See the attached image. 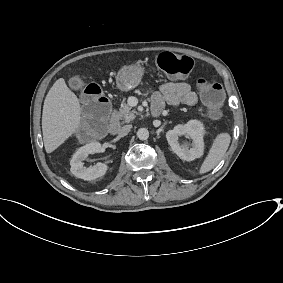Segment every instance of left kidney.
I'll return each instance as SVG.
<instances>
[{"label": "left kidney", "mask_w": 283, "mask_h": 283, "mask_svg": "<svg viewBox=\"0 0 283 283\" xmlns=\"http://www.w3.org/2000/svg\"><path fill=\"white\" fill-rule=\"evenodd\" d=\"M204 134L205 129L203 123L198 120H190L184 125L179 124L172 130H169L166 133V138L174 153L183 160L192 161L203 155ZM182 135H186V137H190L192 139L191 148H189V144L186 142L183 144L179 143L178 138Z\"/></svg>", "instance_id": "1"}]
</instances>
